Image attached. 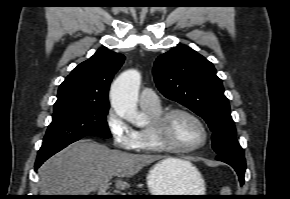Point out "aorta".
<instances>
[{"label": "aorta", "instance_id": "aorta-1", "mask_svg": "<svg viewBox=\"0 0 290 199\" xmlns=\"http://www.w3.org/2000/svg\"><path fill=\"white\" fill-rule=\"evenodd\" d=\"M141 75L131 69L120 74L113 82L110 98L111 105L118 115L137 126L147 124V117L138 111L137 100Z\"/></svg>", "mask_w": 290, "mask_h": 199}]
</instances>
